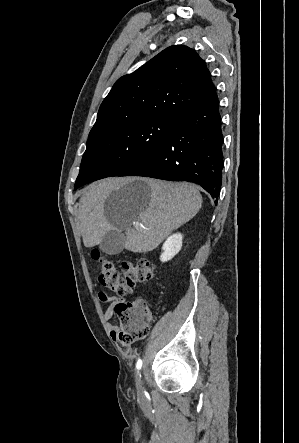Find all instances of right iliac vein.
Returning a JSON list of instances; mask_svg holds the SVG:
<instances>
[{"mask_svg": "<svg viewBox=\"0 0 299 443\" xmlns=\"http://www.w3.org/2000/svg\"><path fill=\"white\" fill-rule=\"evenodd\" d=\"M137 389H138V396L143 399V385H142V379H141V375H139L138 377V381H137Z\"/></svg>", "mask_w": 299, "mask_h": 443, "instance_id": "1", "label": "right iliac vein"}]
</instances>
